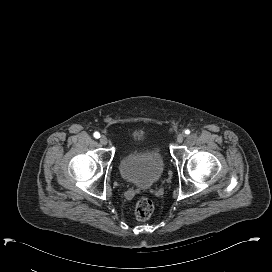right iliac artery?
Wrapping results in <instances>:
<instances>
[{"label":"right iliac artery","instance_id":"obj_1","mask_svg":"<svg viewBox=\"0 0 272 272\" xmlns=\"http://www.w3.org/2000/svg\"><path fill=\"white\" fill-rule=\"evenodd\" d=\"M94 137H95V138H99V137H100V134H99L98 132H95V133H94Z\"/></svg>","mask_w":272,"mask_h":272}]
</instances>
